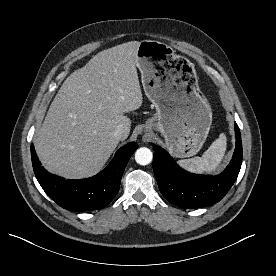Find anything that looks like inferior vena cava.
<instances>
[{"instance_id":"1","label":"inferior vena cava","mask_w":276,"mask_h":276,"mask_svg":"<svg viewBox=\"0 0 276 276\" xmlns=\"http://www.w3.org/2000/svg\"><path fill=\"white\" fill-rule=\"evenodd\" d=\"M129 134V130L123 125H119L113 132L115 139L125 140Z\"/></svg>"}]
</instances>
